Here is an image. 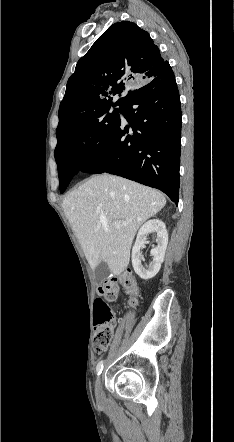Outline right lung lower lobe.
Listing matches in <instances>:
<instances>
[{
	"mask_svg": "<svg viewBox=\"0 0 234 442\" xmlns=\"http://www.w3.org/2000/svg\"><path fill=\"white\" fill-rule=\"evenodd\" d=\"M120 107L129 125L123 126L119 118L80 170L134 180L163 191L178 203L182 115L169 63Z\"/></svg>",
	"mask_w": 234,
	"mask_h": 442,
	"instance_id": "98d812e1",
	"label": "right lung lower lobe"
}]
</instances>
